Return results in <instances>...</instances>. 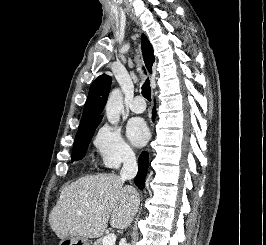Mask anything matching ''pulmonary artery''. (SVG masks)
<instances>
[{"label":"pulmonary artery","instance_id":"1","mask_svg":"<svg viewBox=\"0 0 266 245\" xmlns=\"http://www.w3.org/2000/svg\"><path fill=\"white\" fill-rule=\"evenodd\" d=\"M129 108L134 113H142L146 109V104L141 96H136L130 103Z\"/></svg>","mask_w":266,"mask_h":245}]
</instances>
